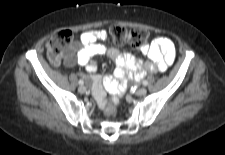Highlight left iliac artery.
<instances>
[{
  "label": "left iliac artery",
  "mask_w": 225,
  "mask_h": 155,
  "mask_svg": "<svg viewBox=\"0 0 225 155\" xmlns=\"http://www.w3.org/2000/svg\"><path fill=\"white\" fill-rule=\"evenodd\" d=\"M143 85H144V86H147V85H148V82H147L146 80H144V81H143Z\"/></svg>",
  "instance_id": "44dca946"
}]
</instances>
